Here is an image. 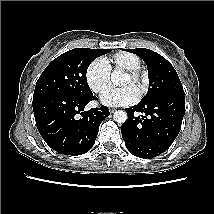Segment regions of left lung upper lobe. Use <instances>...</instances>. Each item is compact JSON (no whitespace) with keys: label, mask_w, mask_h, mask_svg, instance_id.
I'll list each match as a JSON object with an SVG mask.
<instances>
[{"label":"left lung upper lobe","mask_w":214,"mask_h":214,"mask_svg":"<svg viewBox=\"0 0 214 214\" xmlns=\"http://www.w3.org/2000/svg\"><path fill=\"white\" fill-rule=\"evenodd\" d=\"M125 50L141 57L147 65L150 87L141 102L168 95L184 96L183 86L177 72L163 56L146 48Z\"/></svg>","instance_id":"left-lung-upper-lobe-1"}]
</instances>
